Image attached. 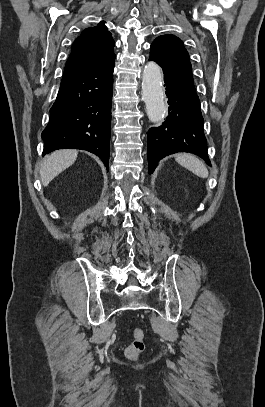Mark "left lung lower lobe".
Instances as JSON below:
<instances>
[{
    "label": "left lung lower lobe",
    "instance_id": "0a47b994",
    "mask_svg": "<svg viewBox=\"0 0 265 407\" xmlns=\"http://www.w3.org/2000/svg\"><path fill=\"white\" fill-rule=\"evenodd\" d=\"M164 82L170 105L169 115L161 126L148 132L149 173L162 158L177 152L194 153L210 165L203 132L204 120L194 86L165 72Z\"/></svg>",
    "mask_w": 265,
    "mask_h": 407
}]
</instances>
